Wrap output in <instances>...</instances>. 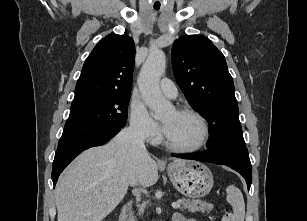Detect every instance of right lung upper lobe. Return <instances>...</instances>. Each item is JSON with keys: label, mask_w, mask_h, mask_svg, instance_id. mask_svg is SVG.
<instances>
[{"label": "right lung upper lobe", "mask_w": 307, "mask_h": 221, "mask_svg": "<svg viewBox=\"0 0 307 221\" xmlns=\"http://www.w3.org/2000/svg\"><path fill=\"white\" fill-rule=\"evenodd\" d=\"M135 59L134 41L128 35L110 34L85 60L73 102L113 93H131Z\"/></svg>", "instance_id": "cb5924a9"}]
</instances>
